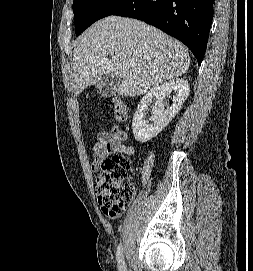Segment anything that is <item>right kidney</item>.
<instances>
[{
    "instance_id": "1",
    "label": "right kidney",
    "mask_w": 253,
    "mask_h": 271,
    "mask_svg": "<svg viewBox=\"0 0 253 271\" xmlns=\"http://www.w3.org/2000/svg\"><path fill=\"white\" fill-rule=\"evenodd\" d=\"M189 83L185 79H173L151 89L139 102L133 116L132 130L134 137L139 142H147L159 134L175 117L189 95ZM174 93L170 106L165 109V98ZM152 99L155 104L152 108L150 123L145 121L148 105Z\"/></svg>"
}]
</instances>
